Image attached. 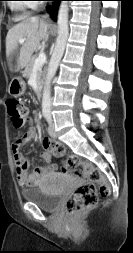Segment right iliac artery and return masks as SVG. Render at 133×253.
I'll return each instance as SVG.
<instances>
[{"label": "right iliac artery", "mask_w": 133, "mask_h": 253, "mask_svg": "<svg viewBox=\"0 0 133 253\" xmlns=\"http://www.w3.org/2000/svg\"><path fill=\"white\" fill-rule=\"evenodd\" d=\"M48 114H49V112H46V111L43 113L44 117H47Z\"/></svg>", "instance_id": "82829eb1"}]
</instances>
